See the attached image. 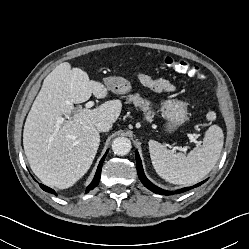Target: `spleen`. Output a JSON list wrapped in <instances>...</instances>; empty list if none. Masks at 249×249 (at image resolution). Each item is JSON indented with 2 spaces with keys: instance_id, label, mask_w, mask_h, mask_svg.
<instances>
[{
  "instance_id": "obj_1",
  "label": "spleen",
  "mask_w": 249,
  "mask_h": 249,
  "mask_svg": "<svg viewBox=\"0 0 249 249\" xmlns=\"http://www.w3.org/2000/svg\"><path fill=\"white\" fill-rule=\"evenodd\" d=\"M207 119H216V113H207ZM224 144V135L218 125L205 132L201 147L194 148L188 155L165 148L161 143L150 140L149 152L157 174L173 184L189 185L204 178L216 165Z\"/></svg>"
}]
</instances>
